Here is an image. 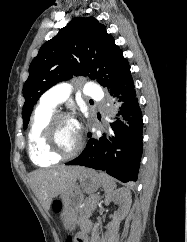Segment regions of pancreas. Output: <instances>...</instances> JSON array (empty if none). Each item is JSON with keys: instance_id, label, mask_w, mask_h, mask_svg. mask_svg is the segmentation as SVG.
<instances>
[{"instance_id": "1", "label": "pancreas", "mask_w": 187, "mask_h": 242, "mask_svg": "<svg viewBox=\"0 0 187 242\" xmlns=\"http://www.w3.org/2000/svg\"><path fill=\"white\" fill-rule=\"evenodd\" d=\"M98 201H99V197L97 195L89 196L85 200L83 209L81 210V214L85 216H90L97 208Z\"/></svg>"}]
</instances>
